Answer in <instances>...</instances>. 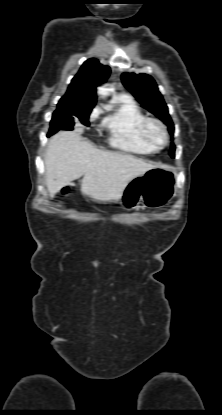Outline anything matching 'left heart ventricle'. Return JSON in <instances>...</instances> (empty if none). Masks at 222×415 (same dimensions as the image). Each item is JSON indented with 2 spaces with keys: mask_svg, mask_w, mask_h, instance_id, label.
I'll use <instances>...</instances> for the list:
<instances>
[{
  "mask_svg": "<svg viewBox=\"0 0 222 415\" xmlns=\"http://www.w3.org/2000/svg\"><path fill=\"white\" fill-rule=\"evenodd\" d=\"M151 136L156 140V141H161L162 140V135L160 130L157 127H153L151 129Z\"/></svg>",
  "mask_w": 222,
  "mask_h": 415,
  "instance_id": "1",
  "label": "left heart ventricle"
}]
</instances>
